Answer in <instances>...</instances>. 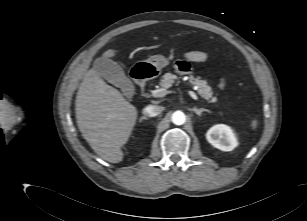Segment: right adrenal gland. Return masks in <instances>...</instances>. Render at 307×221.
<instances>
[{
	"mask_svg": "<svg viewBox=\"0 0 307 221\" xmlns=\"http://www.w3.org/2000/svg\"><path fill=\"white\" fill-rule=\"evenodd\" d=\"M144 119H148L147 117H141L140 121L144 120Z\"/></svg>",
	"mask_w": 307,
	"mask_h": 221,
	"instance_id": "1",
	"label": "right adrenal gland"
}]
</instances>
